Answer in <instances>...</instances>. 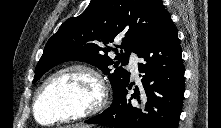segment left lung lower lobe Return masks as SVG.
I'll list each match as a JSON object with an SVG mask.
<instances>
[{"instance_id":"obj_1","label":"left lung lower lobe","mask_w":221,"mask_h":128,"mask_svg":"<svg viewBox=\"0 0 221 128\" xmlns=\"http://www.w3.org/2000/svg\"><path fill=\"white\" fill-rule=\"evenodd\" d=\"M177 29L168 14L136 54L143 87L126 98L128 83L103 113L85 123L114 128H177L184 96V67ZM132 99H135L132 101Z\"/></svg>"}]
</instances>
